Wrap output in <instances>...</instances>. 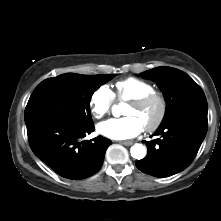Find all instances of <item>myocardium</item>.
<instances>
[{"label": "myocardium", "instance_id": "myocardium-1", "mask_svg": "<svg viewBox=\"0 0 221 221\" xmlns=\"http://www.w3.org/2000/svg\"><path fill=\"white\" fill-rule=\"evenodd\" d=\"M153 102L158 103L159 113H158L157 118L152 124L144 127V130L146 132L156 131L164 122L166 115H167V110H168V104H167V100L165 96L162 93L154 91L140 98L129 101V105H132L138 108L145 107Z\"/></svg>", "mask_w": 221, "mask_h": 221}]
</instances>
